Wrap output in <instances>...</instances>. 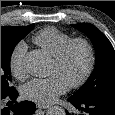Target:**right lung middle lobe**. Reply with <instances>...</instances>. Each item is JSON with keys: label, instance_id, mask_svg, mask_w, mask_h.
Listing matches in <instances>:
<instances>
[{"label": "right lung middle lobe", "instance_id": "1", "mask_svg": "<svg viewBox=\"0 0 115 115\" xmlns=\"http://www.w3.org/2000/svg\"><path fill=\"white\" fill-rule=\"evenodd\" d=\"M34 27V24L24 27H1V94H6L15 88L10 85V59L14 47Z\"/></svg>", "mask_w": 115, "mask_h": 115}]
</instances>
